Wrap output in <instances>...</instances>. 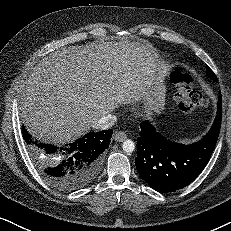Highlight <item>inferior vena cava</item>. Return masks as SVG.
<instances>
[{
  "label": "inferior vena cava",
  "instance_id": "inferior-vena-cava-1",
  "mask_svg": "<svg viewBox=\"0 0 231 231\" xmlns=\"http://www.w3.org/2000/svg\"><path fill=\"white\" fill-rule=\"evenodd\" d=\"M117 120V117L113 114L102 116L94 125L96 129L106 130L111 128Z\"/></svg>",
  "mask_w": 231,
  "mask_h": 231
}]
</instances>
